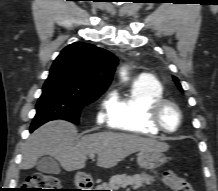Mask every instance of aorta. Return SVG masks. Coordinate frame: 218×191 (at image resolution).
<instances>
[{"instance_id":"1","label":"aorta","mask_w":218,"mask_h":191,"mask_svg":"<svg viewBox=\"0 0 218 191\" xmlns=\"http://www.w3.org/2000/svg\"><path fill=\"white\" fill-rule=\"evenodd\" d=\"M121 76H122V78H123L124 80L127 79V77H126V71H125V70H122V71H121Z\"/></svg>"}]
</instances>
